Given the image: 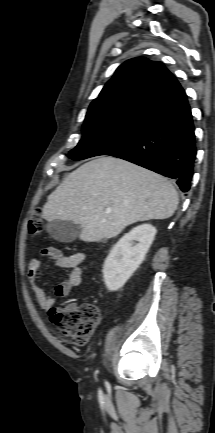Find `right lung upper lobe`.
<instances>
[{"mask_svg":"<svg viewBox=\"0 0 215 433\" xmlns=\"http://www.w3.org/2000/svg\"><path fill=\"white\" fill-rule=\"evenodd\" d=\"M184 90L160 62L133 58L118 67L99 97L90 105L84 122L120 116H147Z\"/></svg>","mask_w":215,"mask_h":433,"instance_id":"1","label":"right lung upper lobe"}]
</instances>
